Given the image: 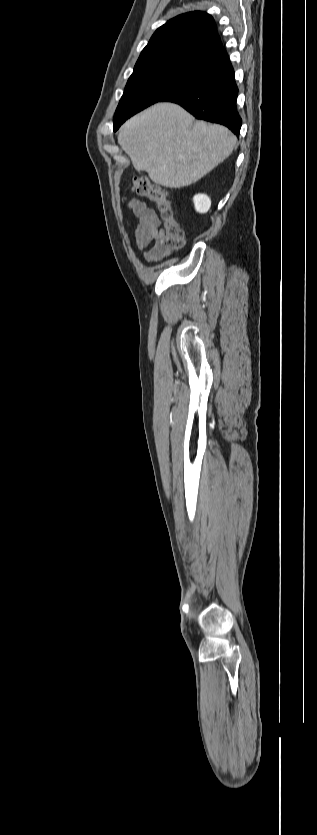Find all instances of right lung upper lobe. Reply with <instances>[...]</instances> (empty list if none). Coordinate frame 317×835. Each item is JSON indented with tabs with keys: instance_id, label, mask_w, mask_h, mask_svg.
Returning a JSON list of instances; mask_svg holds the SVG:
<instances>
[{
	"instance_id": "1",
	"label": "right lung upper lobe",
	"mask_w": 317,
	"mask_h": 835,
	"mask_svg": "<svg viewBox=\"0 0 317 835\" xmlns=\"http://www.w3.org/2000/svg\"><path fill=\"white\" fill-rule=\"evenodd\" d=\"M221 47L212 16L201 11L185 13L156 30L141 52L134 71L205 54Z\"/></svg>"
}]
</instances>
